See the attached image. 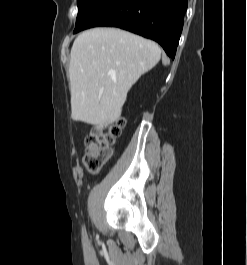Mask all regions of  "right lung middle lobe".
Segmentation results:
<instances>
[{"label": "right lung middle lobe", "mask_w": 247, "mask_h": 265, "mask_svg": "<svg viewBox=\"0 0 247 265\" xmlns=\"http://www.w3.org/2000/svg\"><path fill=\"white\" fill-rule=\"evenodd\" d=\"M99 0H77L78 2V15L76 20V25L85 17L89 10L98 2Z\"/></svg>", "instance_id": "obj_1"}]
</instances>
